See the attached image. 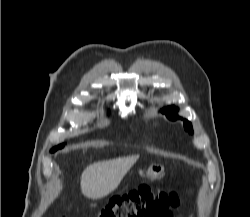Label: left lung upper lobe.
Here are the masks:
<instances>
[{
    "label": "left lung upper lobe",
    "mask_w": 250,
    "mask_h": 217,
    "mask_svg": "<svg viewBox=\"0 0 250 217\" xmlns=\"http://www.w3.org/2000/svg\"><path fill=\"white\" fill-rule=\"evenodd\" d=\"M162 113H165L167 118L174 121V120H177V119H180V117L177 115V108L174 107V106H170V107H167V108H164L161 110ZM182 119V118H181ZM184 128L185 130H187L189 133H193L192 131V125L191 123L184 119Z\"/></svg>",
    "instance_id": "1"
}]
</instances>
